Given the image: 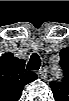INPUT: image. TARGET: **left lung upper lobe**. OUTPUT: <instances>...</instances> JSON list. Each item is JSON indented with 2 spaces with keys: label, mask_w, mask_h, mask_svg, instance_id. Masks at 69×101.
<instances>
[{
  "label": "left lung upper lobe",
  "mask_w": 69,
  "mask_h": 101,
  "mask_svg": "<svg viewBox=\"0 0 69 101\" xmlns=\"http://www.w3.org/2000/svg\"><path fill=\"white\" fill-rule=\"evenodd\" d=\"M61 67L63 68L64 72H65V77H64V80H66L67 78V66L65 63H63V61H61ZM65 82V81H63ZM60 85L59 84H56L54 81H52L50 83V87L52 88V90H54L56 87H59Z\"/></svg>",
  "instance_id": "obj_1"
}]
</instances>
